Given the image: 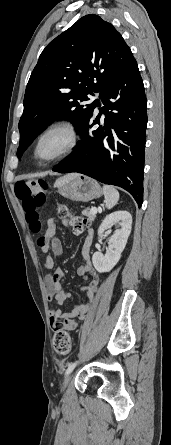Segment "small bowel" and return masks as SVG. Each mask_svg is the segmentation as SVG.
<instances>
[{
    "label": "small bowel",
    "instance_id": "small-bowel-1",
    "mask_svg": "<svg viewBox=\"0 0 171 445\" xmlns=\"http://www.w3.org/2000/svg\"><path fill=\"white\" fill-rule=\"evenodd\" d=\"M57 231V224L51 220L48 223L46 232L40 236L37 240V245L43 253L52 252V255L47 254L43 261V266L51 270L55 264V257L62 254L61 241L55 236ZM91 239L87 237L82 246L83 263L77 267V274L81 276L85 281H88L86 285H83L81 289L86 292V298L83 303H75L72 305L70 312L63 313L59 308L52 307L49 309V316L51 326L54 330L61 327L70 331L76 330L80 327V322L74 320L75 317L84 319L86 312L91 307L95 294L98 290L99 276L94 269L91 262ZM89 277L91 278L89 280ZM64 273L62 269L56 268L52 273H49L45 277V290L47 300L56 303L58 306L62 305L67 299L71 297V294L63 288Z\"/></svg>",
    "mask_w": 171,
    "mask_h": 445
}]
</instances>
